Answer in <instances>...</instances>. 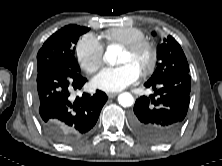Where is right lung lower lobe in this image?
I'll use <instances>...</instances> for the list:
<instances>
[{
	"label": "right lung lower lobe",
	"mask_w": 222,
	"mask_h": 166,
	"mask_svg": "<svg viewBox=\"0 0 222 166\" xmlns=\"http://www.w3.org/2000/svg\"><path fill=\"white\" fill-rule=\"evenodd\" d=\"M86 79L78 71L54 66L37 73L33 90L38 118L45 133L58 143H72L96 124L107 95L97 90L93 96L83 93L73 98Z\"/></svg>",
	"instance_id": "98d812e1"
}]
</instances>
